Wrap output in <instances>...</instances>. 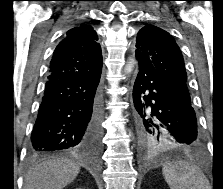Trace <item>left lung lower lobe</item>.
<instances>
[{
    "mask_svg": "<svg viewBox=\"0 0 223 189\" xmlns=\"http://www.w3.org/2000/svg\"><path fill=\"white\" fill-rule=\"evenodd\" d=\"M139 131L157 128L168 135L179 149H195L201 138L196 114L152 68L139 64L133 88Z\"/></svg>",
    "mask_w": 223,
    "mask_h": 189,
    "instance_id": "obj_1",
    "label": "left lung lower lobe"
}]
</instances>
